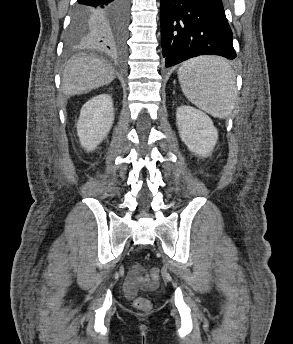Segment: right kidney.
Listing matches in <instances>:
<instances>
[{"mask_svg":"<svg viewBox=\"0 0 293 344\" xmlns=\"http://www.w3.org/2000/svg\"><path fill=\"white\" fill-rule=\"evenodd\" d=\"M114 121L112 97L108 94L97 95L88 100L81 108L77 122V134L81 146L91 152L108 135Z\"/></svg>","mask_w":293,"mask_h":344,"instance_id":"obj_1","label":"right kidney"}]
</instances>
